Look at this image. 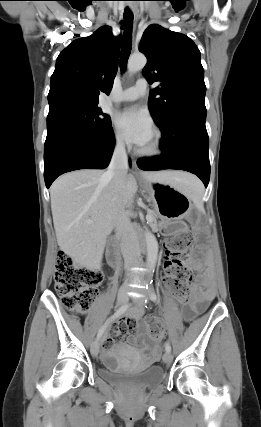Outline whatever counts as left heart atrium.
I'll use <instances>...</instances> for the list:
<instances>
[{
  "instance_id": "left-heart-atrium-1",
  "label": "left heart atrium",
  "mask_w": 261,
  "mask_h": 427,
  "mask_svg": "<svg viewBox=\"0 0 261 427\" xmlns=\"http://www.w3.org/2000/svg\"><path fill=\"white\" fill-rule=\"evenodd\" d=\"M116 126L130 144L142 147L153 133L152 121L149 115L136 107L126 109L115 118Z\"/></svg>"
}]
</instances>
